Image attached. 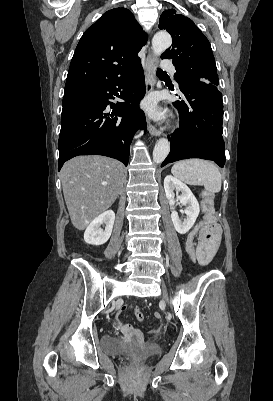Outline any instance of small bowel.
<instances>
[{
	"label": "small bowel",
	"mask_w": 273,
	"mask_h": 401,
	"mask_svg": "<svg viewBox=\"0 0 273 401\" xmlns=\"http://www.w3.org/2000/svg\"><path fill=\"white\" fill-rule=\"evenodd\" d=\"M196 234H200V227L197 225L188 235L186 238V249L187 252L189 253V249H193L196 255V259L198 262L202 265H208L212 258L214 257L220 241H200L197 248L195 249V244H194V237ZM122 312L126 311L125 307L121 308ZM153 316L155 318H158L160 316V313L158 311H155L153 313ZM142 320V319H138ZM131 331V335L129 336V329ZM119 330L124 333V338H125V343L128 347L130 348H135L138 346L144 345L143 341V336L138 331L136 328H134L132 325L126 324V323H121L119 325ZM158 333L161 335H164L166 333V330L164 327H159L158 328ZM129 336V337H128Z\"/></svg>",
	"instance_id": "1"
}]
</instances>
